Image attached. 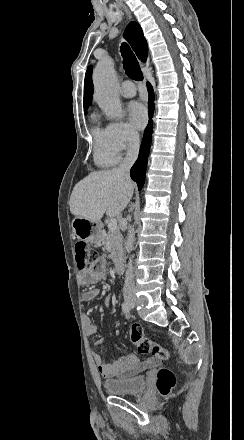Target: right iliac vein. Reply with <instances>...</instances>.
I'll return each mask as SVG.
<instances>
[{
	"label": "right iliac vein",
	"instance_id": "right-iliac-vein-1",
	"mask_svg": "<svg viewBox=\"0 0 244 440\" xmlns=\"http://www.w3.org/2000/svg\"><path fill=\"white\" fill-rule=\"evenodd\" d=\"M127 302L130 304L131 303V299H128Z\"/></svg>",
	"mask_w": 244,
	"mask_h": 440
}]
</instances>
